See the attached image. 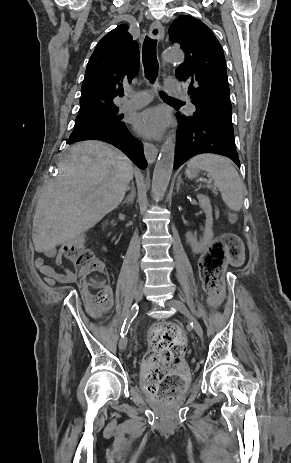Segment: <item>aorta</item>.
I'll list each match as a JSON object with an SVG mask.
<instances>
[{
  "mask_svg": "<svg viewBox=\"0 0 291 463\" xmlns=\"http://www.w3.org/2000/svg\"><path fill=\"white\" fill-rule=\"evenodd\" d=\"M163 58L167 62H182L184 54L178 49L169 47L165 49ZM174 155L175 142L173 137L168 136L161 147L152 178V192L158 197H162L168 188L173 170Z\"/></svg>",
  "mask_w": 291,
  "mask_h": 463,
  "instance_id": "1",
  "label": "aorta"
}]
</instances>
